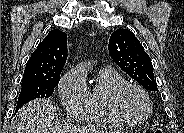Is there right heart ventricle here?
Segmentation results:
<instances>
[{"instance_id": "obj_1", "label": "right heart ventricle", "mask_w": 184, "mask_h": 133, "mask_svg": "<svg viewBox=\"0 0 184 133\" xmlns=\"http://www.w3.org/2000/svg\"><path fill=\"white\" fill-rule=\"evenodd\" d=\"M126 82L125 78L113 68L100 69L96 84L90 91V108L86 120L104 126L125 125L112 112L110 97L115 88Z\"/></svg>"}]
</instances>
